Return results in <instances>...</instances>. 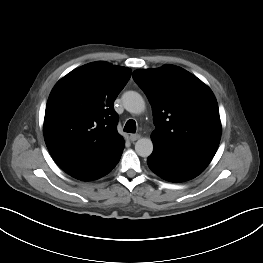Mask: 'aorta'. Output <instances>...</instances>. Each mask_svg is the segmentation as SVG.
<instances>
[{
    "label": "aorta",
    "instance_id": "obj_1",
    "mask_svg": "<svg viewBox=\"0 0 263 263\" xmlns=\"http://www.w3.org/2000/svg\"><path fill=\"white\" fill-rule=\"evenodd\" d=\"M124 108L134 114H140L145 109L143 97L135 91H127L122 96ZM135 151L141 157H148L153 152V143L150 138H140L135 144Z\"/></svg>",
    "mask_w": 263,
    "mask_h": 263
}]
</instances>
